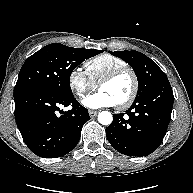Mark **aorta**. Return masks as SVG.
I'll return each mask as SVG.
<instances>
[{"label":"aorta","instance_id":"762f6f07","mask_svg":"<svg viewBox=\"0 0 193 193\" xmlns=\"http://www.w3.org/2000/svg\"><path fill=\"white\" fill-rule=\"evenodd\" d=\"M98 121L102 125H110L113 121V116L108 111H102L98 115Z\"/></svg>","mask_w":193,"mask_h":193}]
</instances>
